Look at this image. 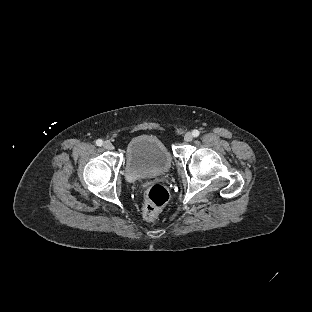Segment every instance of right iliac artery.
I'll return each instance as SVG.
<instances>
[{
    "mask_svg": "<svg viewBox=\"0 0 312 312\" xmlns=\"http://www.w3.org/2000/svg\"><path fill=\"white\" fill-rule=\"evenodd\" d=\"M103 141L101 139L96 140V145L97 146H102Z\"/></svg>",
    "mask_w": 312,
    "mask_h": 312,
    "instance_id": "82829eb1",
    "label": "right iliac artery"
}]
</instances>
